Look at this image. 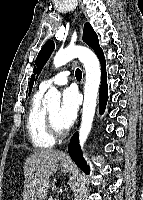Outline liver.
Here are the masks:
<instances>
[{"label": "liver", "instance_id": "1", "mask_svg": "<svg viewBox=\"0 0 143 200\" xmlns=\"http://www.w3.org/2000/svg\"><path fill=\"white\" fill-rule=\"evenodd\" d=\"M63 153L55 149H39L24 164V200H45L50 176L58 169Z\"/></svg>", "mask_w": 143, "mask_h": 200}]
</instances>
